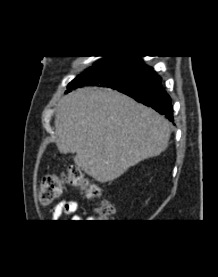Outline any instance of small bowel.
Returning a JSON list of instances; mask_svg holds the SVG:
<instances>
[{
    "mask_svg": "<svg viewBox=\"0 0 218 277\" xmlns=\"http://www.w3.org/2000/svg\"><path fill=\"white\" fill-rule=\"evenodd\" d=\"M78 209V203L75 200L64 199L60 201L51 212L52 222H58L65 218H70L72 220H81V217L76 214ZM79 222V221H74Z\"/></svg>",
    "mask_w": 218,
    "mask_h": 277,
    "instance_id": "obj_1",
    "label": "small bowel"
}]
</instances>
